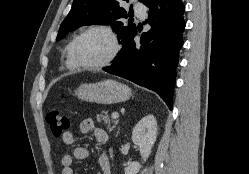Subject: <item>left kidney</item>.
Segmentation results:
<instances>
[{
    "mask_svg": "<svg viewBox=\"0 0 249 174\" xmlns=\"http://www.w3.org/2000/svg\"><path fill=\"white\" fill-rule=\"evenodd\" d=\"M157 138V122L153 115L143 117L133 128L132 141L139 147L140 155L145 162ZM141 168L139 162H128L125 174H137Z\"/></svg>",
    "mask_w": 249,
    "mask_h": 174,
    "instance_id": "left-kidney-1",
    "label": "left kidney"
}]
</instances>
